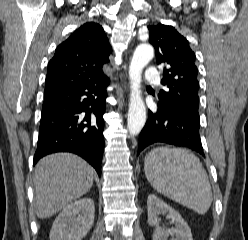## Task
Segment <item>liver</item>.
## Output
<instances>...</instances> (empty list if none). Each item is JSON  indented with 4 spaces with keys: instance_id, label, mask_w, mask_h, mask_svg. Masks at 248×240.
<instances>
[{
    "instance_id": "1",
    "label": "liver",
    "mask_w": 248,
    "mask_h": 240,
    "mask_svg": "<svg viewBox=\"0 0 248 240\" xmlns=\"http://www.w3.org/2000/svg\"><path fill=\"white\" fill-rule=\"evenodd\" d=\"M93 176L92 167L74 154L56 153L41 159L34 173L36 215L51 217L86 194Z\"/></svg>"
}]
</instances>
